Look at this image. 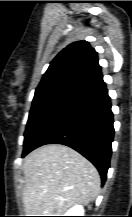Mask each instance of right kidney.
I'll return each mask as SVG.
<instances>
[{"mask_svg": "<svg viewBox=\"0 0 132 217\" xmlns=\"http://www.w3.org/2000/svg\"><path fill=\"white\" fill-rule=\"evenodd\" d=\"M64 216H84V209L81 205L72 207Z\"/></svg>", "mask_w": 132, "mask_h": 217, "instance_id": "right-kidney-1", "label": "right kidney"}]
</instances>
